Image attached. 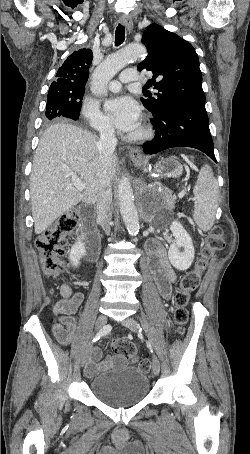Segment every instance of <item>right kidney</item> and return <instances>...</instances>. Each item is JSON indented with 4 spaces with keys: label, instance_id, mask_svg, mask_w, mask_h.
I'll use <instances>...</instances> for the list:
<instances>
[{
    "label": "right kidney",
    "instance_id": "ca27d5eb",
    "mask_svg": "<svg viewBox=\"0 0 250 454\" xmlns=\"http://www.w3.org/2000/svg\"><path fill=\"white\" fill-rule=\"evenodd\" d=\"M82 240L83 237H78V240L70 250L69 259L73 267H78L80 264V259L85 255L86 248Z\"/></svg>",
    "mask_w": 250,
    "mask_h": 454
}]
</instances>
